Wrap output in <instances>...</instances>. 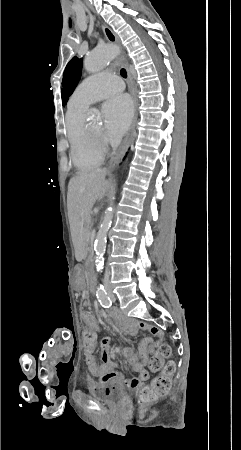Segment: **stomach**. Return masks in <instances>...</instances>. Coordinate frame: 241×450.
Returning a JSON list of instances; mask_svg holds the SVG:
<instances>
[{
    "label": "stomach",
    "instance_id": "obj_1",
    "mask_svg": "<svg viewBox=\"0 0 241 450\" xmlns=\"http://www.w3.org/2000/svg\"><path fill=\"white\" fill-rule=\"evenodd\" d=\"M72 281L78 290H81L84 287L85 277H84L83 271L80 266H77L75 268L73 276H72Z\"/></svg>",
    "mask_w": 241,
    "mask_h": 450
}]
</instances>
